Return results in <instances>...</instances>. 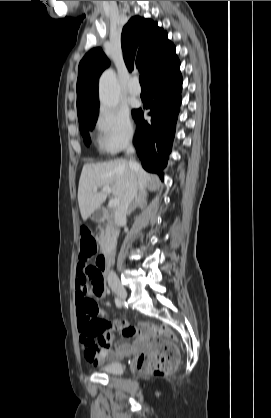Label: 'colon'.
Instances as JSON below:
<instances>
[{
	"label": "colon",
	"mask_w": 271,
	"mask_h": 418,
	"mask_svg": "<svg viewBox=\"0 0 271 418\" xmlns=\"http://www.w3.org/2000/svg\"><path fill=\"white\" fill-rule=\"evenodd\" d=\"M96 250L97 243L92 232L88 228H83L80 235V261H89L95 255ZM152 331L155 340L139 356L137 366L140 370L155 376H165L176 370L179 364V352L174 344V336L169 330L156 327Z\"/></svg>",
	"instance_id": "5ec220e1"
}]
</instances>
